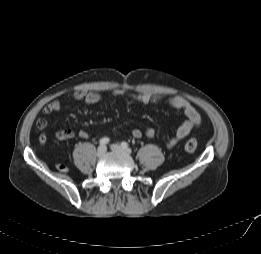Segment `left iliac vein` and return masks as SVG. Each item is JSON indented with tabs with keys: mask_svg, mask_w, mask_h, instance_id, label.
Listing matches in <instances>:
<instances>
[{
	"mask_svg": "<svg viewBox=\"0 0 261 254\" xmlns=\"http://www.w3.org/2000/svg\"><path fill=\"white\" fill-rule=\"evenodd\" d=\"M111 149H112L113 151H124V152L127 153V154H130V153H131V150H130L129 148H123V147H121V146L118 145V144H112V145H111Z\"/></svg>",
	"mask_w": 261,
	"mask_h": 254,
	"instance_id": "obj_1",
	"label": "left iliac vein"
}]
</instances>
